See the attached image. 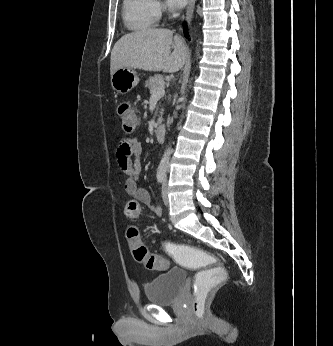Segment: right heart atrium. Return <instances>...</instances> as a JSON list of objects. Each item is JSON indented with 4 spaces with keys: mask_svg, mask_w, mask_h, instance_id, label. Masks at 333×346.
<instances>
[{
    "mask_svg": "<svg viewBox=\"0 0 333 346\" xmlns=\"http://www.w3.org/2000/svg\"><path fill=\"white\" fill-rule=\"evenodd\" d=\"M151 7L154 17L159 18L164 11L162 3L159 0H151Z\"/></svg>",
    "mask_w": 333,
    "mask_h": 346,
    "instance_id": "d8ad5b80",
    "label": "right heart atrium"
}]
</instances>
